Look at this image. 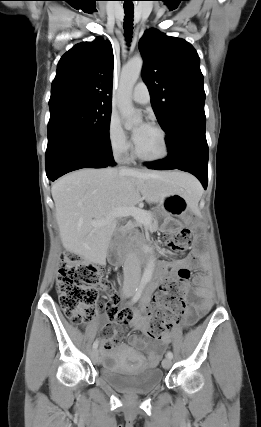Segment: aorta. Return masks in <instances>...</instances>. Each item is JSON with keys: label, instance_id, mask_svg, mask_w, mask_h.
Segmentation results:
<instances>
[{"label": "aorta", "instance_id": "1", "mask_svg": "<svg viewBox=\"0 0 261 427\" xmlns=\"http://www.w3.org/2000/svg\"><path fill=\"white\" fill-rule=\"evenodd\" d=\"M143 66V60L137 56L132 58L123 68L118 88L119 110L126 119L125 127L132 128L142 122L132 103V90L137 82ZM154 257H151L143 272V280L150 281L154 271Z\"/></svg>", "mask_w": 261, "mask_h": 427}]
</instances>
